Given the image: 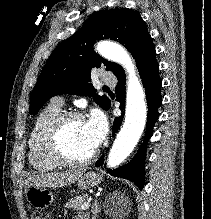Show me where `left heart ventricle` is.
<instances>
[{"label":"left heart ventricle","instance_id":"1","mask_svg":"<svg viewBox=\"0 0 211 219\" xmlns=\"http://www.w3.org/2000/svg\"><path fill=\"white\" fill-rule=\"evenodd\" d=\"M61 146L67 155L75 159H83L95 149L86 134L83 120L71 121L65 126Z\"/></svg>","mask_w":211,"mask_h":219}]
</instances>
